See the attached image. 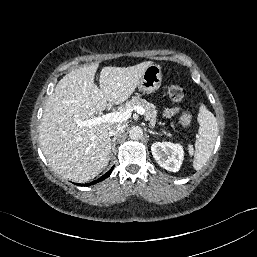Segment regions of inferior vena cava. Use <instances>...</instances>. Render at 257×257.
<instances>
[{"label": "inferior vena cava", "mask_w": 257, "mask_h": 257, "mask_svg": "<svg viewBox=\"0 0 257 257\" xmlns=\"http://www.w3.org/2000/svg\"><path fill=\"white\" fill-rule=\"evenodd\" d=\"M124 131V126L121 124L115 125L112 127V129L109 131V136H116Z\"/></svg>", "instance_id": "obj_1"}]
</instances>
